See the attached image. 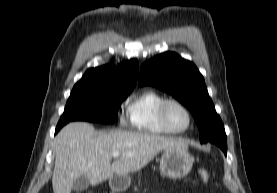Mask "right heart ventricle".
Masks as SVG:
<instances>
[{"label": "right heart ventricle", "mask_w": 277, "mask_h": 193, "mask_svg": "<svg viewBox=\"0 0 277 193\" xmlns=\"http://www.w3.org/2000/svg\"><path fill=\"white\" fill-rule=\"evenodd\" d=\"M165 99L164 95L153 89H145L133 97L126 108L131 128L144 134H166L158 117L160 105Z\"/></svg>", "instance_id": "1"}]
</instances>
